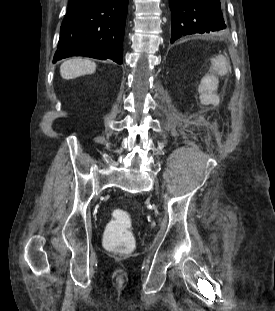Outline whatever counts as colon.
Returning a JSON list of instances; mask_svg holds the SVG:
<instances>
[{
    "mask_svg": "<svg viewBox=\"0 0 275 311\" xmlns=\"http://www.w3.org/2000/svg\"><path fill=\"white\" fill-rule=\"evenodd\" d=\"M131 223V218L126 211L113 210L112 220L107 224L104 235V245L107 249L122 253H128L134 249L135 239L130 231Z\"/></svg>",
    "mask_w": 275,
    "mask_h": 311,
    "instance_id": "obj_1",
    "label": "colon"
}]
</instances>
